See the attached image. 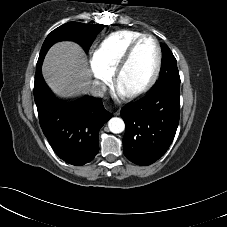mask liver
I'll return each mask as SVG.
<instances>
[{"mask_svg":"<svg viewBox=\"0 0 227 227\" xmlns=\"http://www.w3.org/2000/svg\"><path fill=\"white\" fill-rule=\"evenodd\" d=\"M42 73L51 90L62 97L87 93L90 87L87 58L74 42L54 44L44 59Z\"/></svg>","mask_w":227,"mask_h":227,"instance_id":"6515ba94","label":"liver"}]
</instances>
